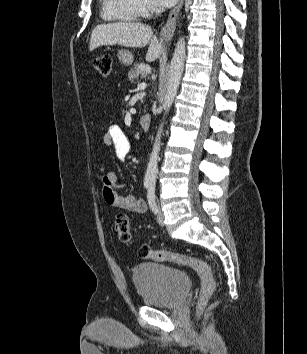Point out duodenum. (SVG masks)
Segmentation results:
<instances>
[{
  "label": "duodenum",
  "mask_w": 307,
  "mask_h": 354,
  "mask_svg": "<svg viewBox=\"0 0 307 354\" xmlns=\"http://www.w3.org/2000/svg\"><path fill=\"white\" fill-rule=\"evenodd\" d=\"M151 115L144 114L140 117L139 123L142 129L148 130L151 126Z\"/></svg>",
  "instance_id": "1"
}]
</instances>
